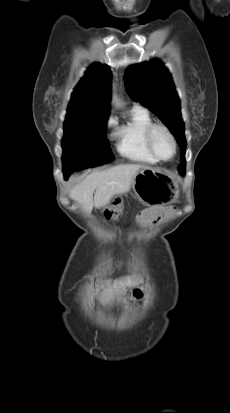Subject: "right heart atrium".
Returning <instances> with one entry per match:
<instances>
[{
	"mask_svg": "<svg viewBox=\"0 0 230 413\" xmlns=\"http://www.w3.org/2000/svg\"><path fill=\"white\" fill-rule=\"evenodd\" d=\"M107 124H108V125H112V124H113V120H112V119L108 120Z\"/></svg>",
	"mask_w": 230,
	"mask_h": 413,
	"instance_id": "right-heart-atrium-1",
	"label": "right heart atrium"
}]
</instances>
